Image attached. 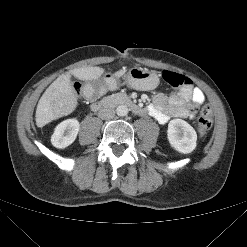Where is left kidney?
<instances>
[{"label": "left kidney", "mask_w": 247, "mask_h": 247, "mask_svg": "<svg viewBox=\"0 0 247 247\" xmlns=\"http://www.w3.org/2000/svg\"><path fill=\"white\" fill-rule=\"evenodd\" d=\"M167 138L170 145L180 153L188 154L196 148V131L182 119H173L169 122Z\"/></svg>", "instance_id": "1"}]
</instances>
